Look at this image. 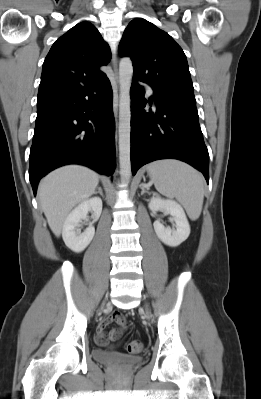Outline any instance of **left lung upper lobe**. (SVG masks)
<instances>
[{"label":"left lung upper lobe","instance_id":"obj_1","mask_svg":"<svg viewBox=\"0 0 261 399\" xmlns=\"http://www.w3.org/2000/svg\"><path fill=\"white\" fill-rule=\"evenodd\" d=\"M120 56L133 61V80L155 93L194 97L186 56L174 39L145 19L132 20L119 44Z\"/></svg>","mask_w":261,"mask_h":399}]
</instances>
